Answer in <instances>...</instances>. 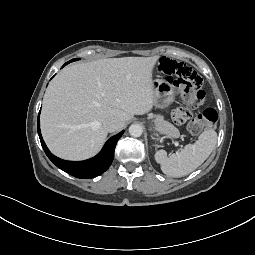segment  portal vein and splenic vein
I'll list each match as a JSON object with an SVG mask.
<instances>
[{"label":"portal vein and splenic vein","instance_id":"18ae733b","mask_svg":"<svg viewBox=\"0 0 255 255\" xmlns=\"http://www.w3.org/2000/svg\"><path fill=\"white\" fill-rule=\"evenodd\" d=\"M175 145H176V146H178V145H179V143H178V142H175Z\"/></svg>","mask_w":255,"mask_h":255}]
</instances>
